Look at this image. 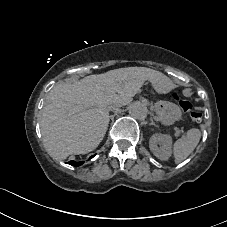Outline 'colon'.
Here are the masks:
<instances>
[{"mask_svg":"<svg viewBox=\"0 0 227 227\" xmlns=\"http://www.w3.org/2000/svg\"><path fill=\"white\" fill-rule=\"evenodd\" d=\"M174 98L179 100L180 108L189 115V117L196 122L202 120V112L199 109H193L188 100L183 99L181 92L176 89L173 91Z\"/></svg>","mask_w":227,"mask_h":227,"instance_id":"1","label":"colon"}]
</instances>
